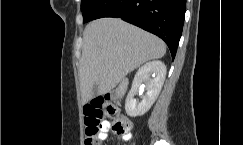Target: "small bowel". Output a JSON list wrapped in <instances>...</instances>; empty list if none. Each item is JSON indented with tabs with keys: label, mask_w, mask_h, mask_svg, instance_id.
<instances>
[{
	"label": "small bowel",
	"mask_w": 243,
	"mask_h": 145,
	"mask_svg": "<svg viewBox=\"0 0 243 145\" xmlns=\"http://www.w3.org/2000/svg\"><path fill=\"white\" fill-rule=\"evenodd\" d=\"M123 118H125V117H123ZM129 124H130V128L126 132L119 134V137L122 138L123 140H126V141L130 140L132 138V134L130 132V129H131V122L130 121H129ZM111 128H112V122L111 121H108V120L103 121L102 126H101V130L98 134V139L100 141L106 140L107 137H108V133L111 130Z\"/></svg>",
	"instance_id": "obj_1"
}]
</instances>
